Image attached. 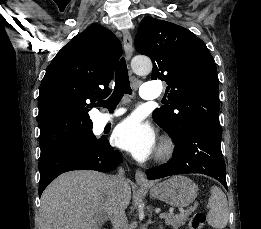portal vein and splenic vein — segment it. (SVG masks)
<instances>
[{
    "label": "portal vein and splenic vein",
    "mask_w": 261,
    "mask_h": 229,
    "mask_svg": "<svg viewBox=\"0 0 261 229\" xmlns=\"http://www.w3.org/2000/svg\"><path fill=\"white\" fill-rule=\"evenodd\" d=\"M166 217H172V215H166V213H162V215H160V219H166Z\"/></svg>",
    "instance_id": "18ae733b"
}]
</instances>
